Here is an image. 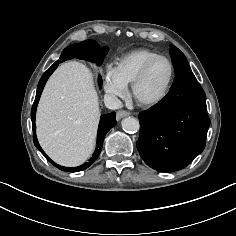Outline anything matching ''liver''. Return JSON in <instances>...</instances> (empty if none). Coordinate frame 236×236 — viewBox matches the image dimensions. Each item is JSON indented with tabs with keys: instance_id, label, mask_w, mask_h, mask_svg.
Masks as SVG:
<instances>
[{
	"instance_id": "obj_1",
	"label": "liver",
	"mask_w": 236,
	"mask_h": 236,
	"mask_svg": "<svg viewBox=\"0 0 236 236\" xmlns=\"http://www.w3.org/2000/svg\"><path fill=\"white\" fill-rule=\"evenodd\" d=\"M100 111L89 69L63 63L49 78L36 114L37 137L56 163L74 167L92 154Z\"/></svg>"
}]
</instances>
